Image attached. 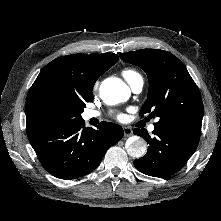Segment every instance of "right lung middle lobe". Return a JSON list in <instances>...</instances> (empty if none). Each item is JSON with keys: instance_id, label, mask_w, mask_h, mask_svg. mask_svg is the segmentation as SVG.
<instances>
[{"instance_id": "1", "label": "right lung middle lobe", "mask_w": 221, "mask_h": 221, "mask_svg": "<svg viewBox=\"0 0 221 221\" xmlns=\"http://www.w3.org/2000/svg\"><path fill=\"white\" fill-rule=\"evenodd\" d=\"M59 92H48L40 97L37 103L36 113L42 126L68 125L79 122L82 119L85 103Z\"/></svg>"}]
</instances>
